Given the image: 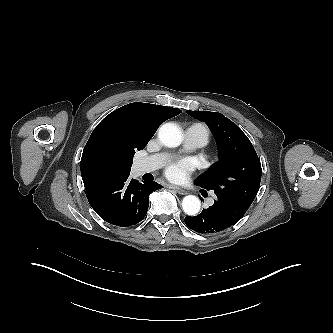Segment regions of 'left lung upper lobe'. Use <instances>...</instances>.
I'll return each mask as SVG.
<instances>
[{
	"instance_id": "1",
	"label": "left lung upper lobe",
	"mask_w": 333,
	"mask_h": 333,
	"mask_svg": "<svg viewBox=\"0 0 333 333\" xmlns=\"http://www.w3.org/2000/svg\"><path fill=\"white\" fill-rule=\"evenodd\" d=\"M186 112L208 125L219 149L220 160L198 177L195 184L250 207L260 187L262 169L248 137L221 113Z\"/></svg>"
}]
</instances>
